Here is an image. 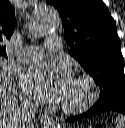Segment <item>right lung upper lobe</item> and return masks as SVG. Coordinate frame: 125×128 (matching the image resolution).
<instances>
[{"instance_id": "cb5924a9", "label": "right lung upper lobe", "mask_w": 125, "mask_h": 128, "mask_svg": "<svg viewBox=\"0 0 125 128\" xmlns=\"http://www.w3.org/2000/svg\"><path fill=\"white\" fill-rule=\"evenodd\" d=\"M15 28V12L9 0H0V57L7 58L5 38H10Z\"/></svg>"}]
</instances>
